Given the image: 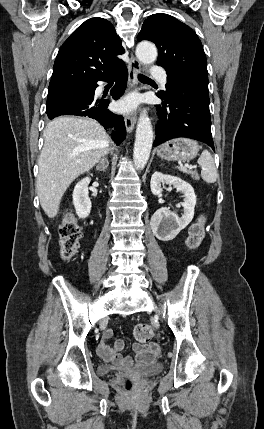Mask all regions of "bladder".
Listing matches in <instances>:
<instances>
[{
    "label": "bladder",
    "instance_id": "obj_1",
    "mask_svg": "<svg viewBox=\"0 0 264 429\" xmlns=\"http://www.w3.org/2000/svg\"><path fill=\"white\" fill-rule=\"evenodd\" d=\"M163 370V365L160 362H152L143 366H140L136 369V374L140 377H151ZM113 369L110 366L101 367L102 374H108L112 372Z\"/></svg>",
    "mask_w": 264,
    "mask_h": 429
}]
</instances>
